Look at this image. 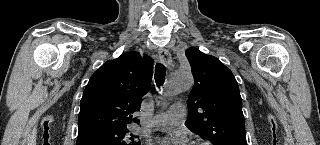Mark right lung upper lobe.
Listing matches in <instances>:
<instances>
[{"label": "right lung upper lobe", "mask_w": 320, "mask_h": 145, "mask_svg": "<svg viewBox=\"0 0 320 145\" xmlns=\"http://www.w3.org/2000/svg\"><path fill=\"white\" fill-rule=\"evenodd\" d=\"M153 60L127 52L103 64L90 78L80 102L78 136L100 129L127 128L136 121L151 84Z\"/></svg>", "instance_id": "cb5924a9"}]
</instances>
